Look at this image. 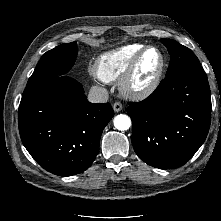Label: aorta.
Returning <instances> with one entry per match:
<instances>
[{
    "instance_id": "aorta-1",
    "label": "aorta",
    "mask_w": 221,
    "mask_h": 221,
    "mask_svg": "<svg viewBox=\"0 0 221 221\" xmlns=\"http://www.w3.org/2000/svg\"><path fill=\"white\" fill-rule=\"evenodd\" d=\"M114 126L120 131L128 130L131 127V119L124 114L117 115L114 118Z\"/></svg>"
}]
</instances>
